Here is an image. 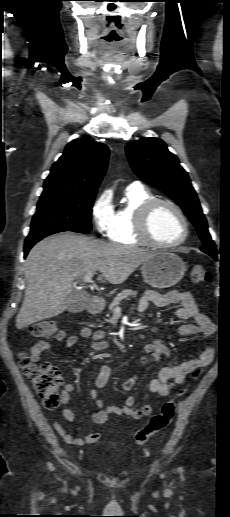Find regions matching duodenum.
<instances>
[{"label": "duodenum", "instance_id": "duodenum-1", "mask_svg": "<svg viewBox=\"0 0 230 517\" xmlns=\"http://www.w3.org/2000/svg\"><path fill=\"white\" fill-rule=\"evenodd\" d=\"M87 309L91 314H98L103 310V303L98 296H91L88 301Z\"/></svg>", "mask_w": 230, "mask_h": 517}]
</instances>
